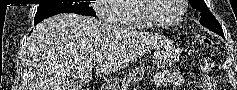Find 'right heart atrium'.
Listing matches in <instances>:
<instances>
[{
  "instance_id": "obj_1",
  "label": "right heart atrium",
  "mask_w": 237,
  "mask_h": 90,
  "mask_svg": "<svg viewBox=\"0 0 237 90\" xmlns=\"http://www.w3.org/2000/svg\"><path fill=\"white\" fill-rule=\"evenodd\" d=\"M118 3H122V0H97V2H92L90 10L98 12L100 20H113L112 15L108 13L111 8H106V6H117Z\"/></svg>"
}]
</instances>
